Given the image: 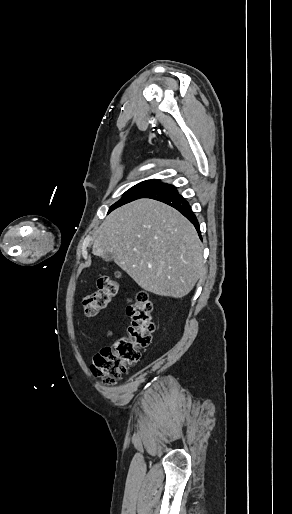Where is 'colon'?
<instances>
[{
	"mask_svg": "<svg viewBox=\"0 0 292 514\" xmlns=\"http://www.w3.org/2000/svg\"><path fill=\"white\" fill-rule=\"evenodd\" d=\"M97 287L94 294L83 298L87 316L97 317L118 297L119 276H103L98 279ZM127 310L131 316L127 332L97 353L90 366L94 376L110 383L122 377L128 366L140 359L141 350L148 347L154 332L152 304L146 292L134 293L127 304Z\"/></svg>",
	"mask_w": 292,
	"mask_h": 514,
	"instance_id": "colon-1",
	"label": "colon"
}]
</instances>
